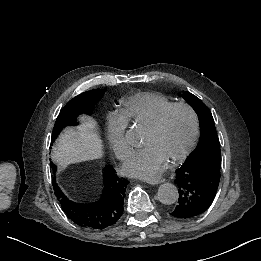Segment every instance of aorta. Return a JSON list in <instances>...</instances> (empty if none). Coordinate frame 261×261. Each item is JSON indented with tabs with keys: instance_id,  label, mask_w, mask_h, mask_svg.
Masks as SVG:
<instances>
[{
	"instance_id": "aorta-1",
	"label": "aorta",
	"mask_w": 261,
	"mask_h": 261,
	"mask_svg": "<svg viewBox=\"0 0 261 261\" xmlns=\"http://www.w3.org/2000/svg\"><path fill=\"white\" fill-rule=\"evenodd\" d=\"M126 138L130 143L135 145L140 140V133L136 129H131L127 131ZM157 195L159 201L164 205H172L179 198L177 187L171 183L161 184L158 188Z\"/></svg>"
}]
</instances>
